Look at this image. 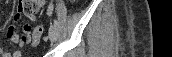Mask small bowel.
Here are the masks:
<instances>
[{
	"mask_svg": "<svg viewBox=\"0 0 172 57\" xmlns=\"http://www.w3.org/2000/svg\"><path fill=\"white\" fill-rule=\"evenodd\" d=\"M45 5L44 0H25L19 3V10L12 17L13 22L20 20L22 12L31 21L36 20V13ZM7 38L19 46L18 49L14 50L12 53L7 52L3 48H0L1 57H21L22 51L21 47L31 43L32 46H36L39 43L41 33L35 32L32 25L27 23L23 26V32L18 34L15 30L14 24H11L7 28L6 32Z\"/></svg>",
	"mask_w": 172,
	"mask_h": 57,
	"instance_id": "obj_1",
	"label": "small bowel"
}]
</instances>
